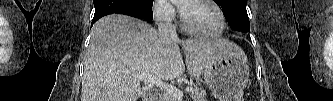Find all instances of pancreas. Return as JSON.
Segmentation results:
<instances>
[{
    "instance_id": "obj_1",
    "label": "pancreas",
    "mask_w": 333,
    "mask_h": 101,
    "mask_svg": "<svg viewBox=\"0 0 333 101\" xmlns=\"http://www.w3.org/2000/svg\"><path fill=\"white\" fill-rule=\"evenodd\" d=\"M191 98L192 101H206V94L201 88L194 86L191 91ZM160 101H178V98L169 93H165L161 96Z\"/></svg>"
}]
</instances>
